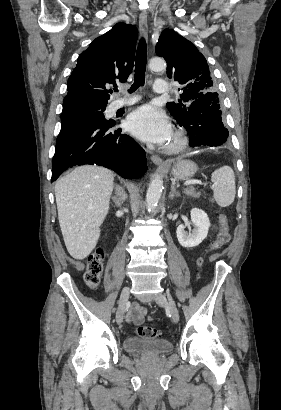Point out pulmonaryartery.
Listing matches in <instances>:
<instances>
[{
    "mask_svg": "<svg viewBox=\"0 0 281 410\" xmlns=\"http://www.w3.org/2000/svg\"><path fill=\"white\" fill-rule=\"evenodd\" d=\"M153 89L157 93H166L168 92V83L165 80L158 79L154 82ZM137 101H138V98L136 97L116 101L114 103V109L117 110L121 107L130 106Z\"/></svg>",
    "mask_w": 281,
    "mask_h": 410,
    "instance_id": "pulmonary-artery-1",
    "label": "pulmonary artery"
}]
</instances>
